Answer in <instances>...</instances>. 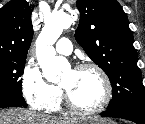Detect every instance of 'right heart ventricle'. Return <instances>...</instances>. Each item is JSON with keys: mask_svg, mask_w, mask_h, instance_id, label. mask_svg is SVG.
I'll return each mask as SVG.
<instances>
[{"mask_svg": "<svg viewBox=\"0 0 145 124\" xmlns=\"http://www.w3.org/2000/svg\"><path fill=\"white\" fill-rule=\"evenodd\" d=\"M59 109H60V103H59V105H58L57 108H55L54 110H52V112H56V111H58Z\"/></svg>", "mask_w": 145, "mask_h": 124, "instance_id": "1", "label": "right heart ventricle"}]
</instances>
